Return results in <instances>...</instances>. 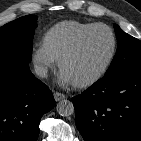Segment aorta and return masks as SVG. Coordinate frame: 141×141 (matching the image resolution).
I'll use <instances>...</instances> for the list:
<instances>
[{"mask_svg":"<svg viewBox=\"0 0 141 141\" xmlns=\"http://www.w3.org/2000/svg\"><path fill=\"white\" fill-rule=\"evenodd\" d=\"M57 112L63 117L70 116L74 113V105L69 100H61L56 106Z\"/></svg>","mask_w":141,"mask_h":141,"instance_id":"1","label":"aorta"}]
</instances>
